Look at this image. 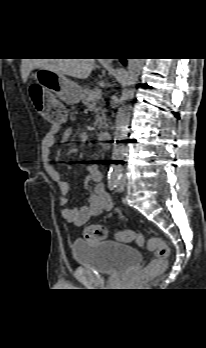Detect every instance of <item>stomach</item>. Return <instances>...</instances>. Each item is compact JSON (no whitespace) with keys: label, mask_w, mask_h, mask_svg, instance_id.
<instances>
[{"label":"stomach","mask_w":206,"mask_h":348,"mask_svg":"<svg viewBox=\"0 0 206 348\" xmlns=\"http://www.w3.org/2000/svg\"><path fill=\"white\" fill-rule=\"evenodd\" d=\"M37 86L45 93L55 94L58 98L68 104L78 103L82 99V88L65 75L49 69L40 68L33 75ZM38 110L40 107L37 108ZM40 113H43V108Z\"/></svg>","instance_id":"0dacf381"}]
</instances>
